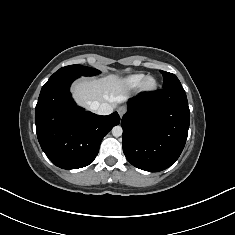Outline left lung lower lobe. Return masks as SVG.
<instances>
[{"instance_id":"1","label":"left lung lower lobe","mask_w":235,"mask_h":235,"mask_svg":"<svg viewBox=\"0 0 235 235\" xmlns=\"http://www.w3.org/2000/svg\"><path fill=\"white\" fill-rule=\"evenodd\" d=\"M123 116V151L135 167L158 172L180 156L187 139L190 111L182 87L142 93L128 101Z\"/></svg>"}]
</instances>
